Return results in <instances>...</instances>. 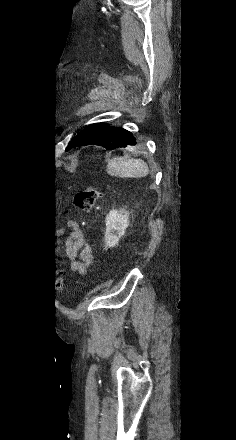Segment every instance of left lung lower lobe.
<instances>
[{
  "mask_svg": "<svg viewBox=\"0 0 236 440\" xmlns=\"http://www.w3.org/2000/svg\"><path fill=\"white\" fill-rule=\"evenodd\" d=\"M90 144L113 150L127 145H136V139L131 132L121 127H111L106 123H95L76 135L68 144L67 149Z\"/></svg>",
  "mask_w": 236,
  "mask_h": 440,
  "instance_id": "obj_1",
  "label": "left lung lower lobe"
}]
</instances>
